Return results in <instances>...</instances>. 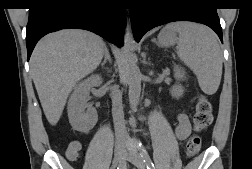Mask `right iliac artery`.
Masks as SVG:
<instances>
[{
  "label": "right iliac artery",
  "instance_id": "obj_1",
  "mask_svg": "<svg viewBox=\"0 0 252 169\" xmlns=\"http://www.w3.org/2000/svg\"><path fill=\"white\" fill-rule=\"evenodd\" d=\"M125 167H126V160L123 158L122 161L120 162L119 166L117 167V169H125ZM114 168H115V165L111 169H114Z\"/></svg>",
  "mask_w": 252,
  "mask_h": 169
}]
</instances>
